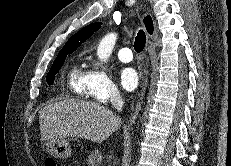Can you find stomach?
Listing matches in <instances>:
<instances>
[{
  "label": "stomach",
  "instance_id": "obj_1",
  "mask_svg": "<svg viewBox=\"0 0 231 166\" xmlns=\"http://www.w3.org/2000/svg\"><path fill=\"white\" fill-rule=\"evenodd\" d=\"M46 145L48 152L55 158L66 159L71 155V147L64 138L50 139Z\"/></svg>",
  "mask_w": 231,
  "mask_h": 166
}]
</instances>
